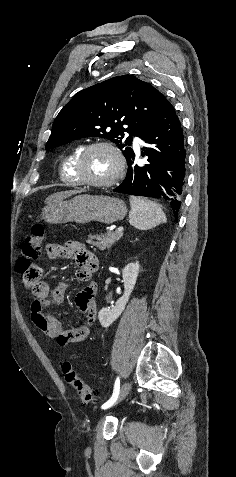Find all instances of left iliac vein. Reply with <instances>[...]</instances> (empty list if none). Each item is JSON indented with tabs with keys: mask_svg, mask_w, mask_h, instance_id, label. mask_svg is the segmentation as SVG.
<instances>
[{
	"mask_svg": "<svg viewBox=\"0 0 236 477\" xmlns=\"http://www.w3.org/2000/svg\"><path fill=\"white\" fill-rule=\"evenodd\" d=\"M130 390H131V383H129V382L123 383V385L120 388V391H119V394H118V397H117L116 401L111 402L108 407L104 408V410H103L104 412L103 411L101 412L102 415L104 416L105 413L108 414V413H111L113 410H115V408L118 407V405H119L118 403L126 398V396L129 394Z\"/></svg>",
	"mask_w": 236,
	"mask_h": 477,
	"instance_id": "left-iliac-vein-1",
	"label": "left iliac vein"
}]
</instances>
